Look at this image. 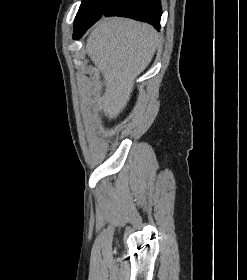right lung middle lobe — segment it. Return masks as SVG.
Wrapping results in <instances>:
<instances>
[{"label": "right lung middle lobe", "instance_id": "right-lung-middle-lobe-1", "mask_svg": "<svg viewBox=\"0 0 247 280\" xmlns=\"http://www.w3.org/2000/svg\"><path fill=\"white\" fill-rule=\"evenodd\" d=\"M111 0H82L75 25H83L100 16Z\"/></svg>", "mask_w": 247, "mask_h": 280}]
</instances>
